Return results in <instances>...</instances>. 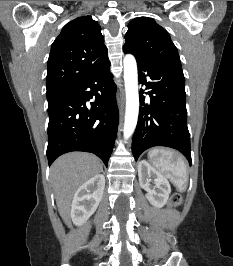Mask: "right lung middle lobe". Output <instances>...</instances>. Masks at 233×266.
Wrapping results in <instances>:
<instances>
[{
    "mask_svg": "<svg viewBox=\"0 0 233 266\" xmlns=\"http://www.w3.org/2000/svg\"><path fill=\"white\" fill-rule=\"evenodd\" d=\"M63 91L47 93V100L50 101L59 96Z\"/></svg>",
    "mask_w": 233,
    "mask_h": 266,
    "instance_id": "obj_1",
    "label": "right lung middle lobe"
}]
</instances>
